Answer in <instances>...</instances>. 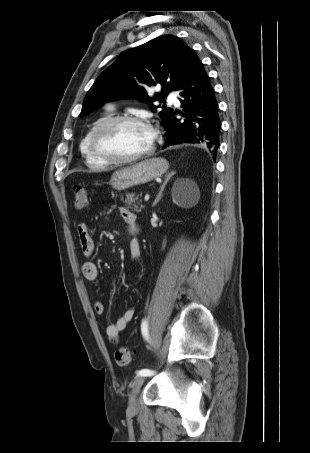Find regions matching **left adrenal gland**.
<instances>
[{
  "mask_svg": "<svg viewBox=\"0 0 310 453\" xmlns=\"http://www.w3.org/2000/svg\"><path fill=\"white\" fill-rule=\"evenodd\" d=\"M175 174L174 171H171V172H168L166 175H165V180H164V183L162 184L161 188H160V191L157 195V197L155 198L152 206L154 207L160 200H161V197H162V192L167 184V182L169 181V179Z\"/></svg>",
  "mask_w": 310,
  "mask_h": 453,
  "instance_id": "obj_1",
  "label": "left adrenal gland"
}]
</instances>
